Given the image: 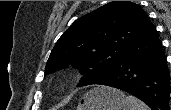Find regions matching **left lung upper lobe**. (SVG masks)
Returning <instances> with one entry per match:
<instances>
[{
	"label": "left lung upper lobe",
	"mask_w": 171,
	"mask_h": 110,
	"mask_svg": "<svg viewBox=\"0 0 171 110\" xmlns=\"http://www.w3.org/2000/svg\"><path fill=\"white\" fill-rule=\"evenodd\" d=\"M130 1H112L77 19L56 42L45 74L72 65L84 75L79 86L95 84L110 73L149 23Z\"/></svg>",
	"instance_id": "left-lung-upper-lobe-1"
}]
</instances>
